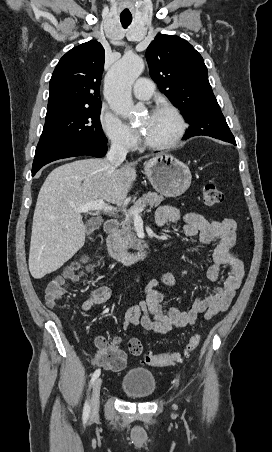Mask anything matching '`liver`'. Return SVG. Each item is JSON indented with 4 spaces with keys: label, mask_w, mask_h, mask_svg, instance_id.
<instances>
[{
    "label": "liver",
    "mask_w": 272,
    "mask_h": 452,
    "mask_svg": "<svg viewBox=\"0 0 272 452\" xmlns=\"http://www.w3.org/2000/svg\"><path fill=\"white\" fill-rule=\"evenodd\" d=\"M135 179V168L129 164L112 166L107 158L76 160L52 170L40 189L34 211L31 275L43 278L83 247L86 226L79 207L99 199L120 203Z\"/></svg>",
    "instance_id": "6515ba94"
}]
</instances>
